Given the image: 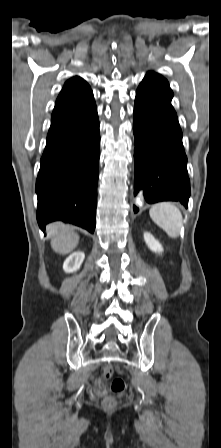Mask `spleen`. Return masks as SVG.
Wrapping results in <instances>:
<instances>
[{"label": "spleen", "mask_w": 221, "mask_h": 448, "mask_svg": "<svg viewBox=\"0 0 221 448\" xmlns=\"http://www.w3.org/2000/svg\"><path fill=\"white\" fill-rule=\"evenodd\" d=\"M149 214L154 223L163 229L169 237H179L183 217L178 207L169 202H161L153 205Z\"/></svg>", "instance_id": "obj_1"}]
</instances>
